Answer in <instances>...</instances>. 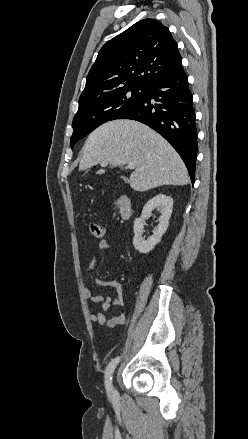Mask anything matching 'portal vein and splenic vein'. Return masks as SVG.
Returning a JSON list of instances; mask_svg holds the SVG:
<instances>
[{"mask_svg":"<svg viewBox=\"0 0 248 439\" xmlns=\"http://www.w3.org/2000/svg\"><path fill=\"white\" fill-rule=\"evenodd\" d=\"M107 164H108L107 162H101V166H102V167L107 166ZM128 168H129V169H134V168H135V164L132 163V162H131V163H128Z\"/></svg>","mask_w":248,"mask_h":439,"instance_id":"obj_1","label":"portal vein and splenic vein"}]
</instances>
